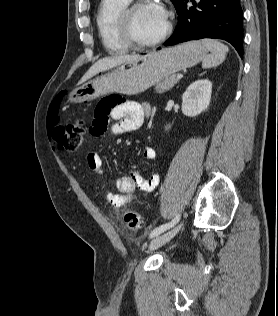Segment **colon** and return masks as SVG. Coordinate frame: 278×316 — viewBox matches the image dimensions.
I'll return each instance as SVG.
<instances>
[{"mask_svg":"<svg viewBox=\"0 0 278 316\" xmlns=\"http://www.w3.org/2000/svg\"><path fill=\"white\" fill-rule=\"evenodd\" d=\"M84 135L85 122L80 118L74 119L66 126L57 127L52 132V137L59 149L66 152L78 150L83 143ZM123 220L127 228L132 231H138L144 225L142 216L134 210H127L123 215Z\"/></svg>","mask_w":278,"mask_h":316,"instance_id":"1","label":"colon"}]
</instances>
